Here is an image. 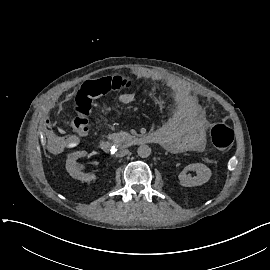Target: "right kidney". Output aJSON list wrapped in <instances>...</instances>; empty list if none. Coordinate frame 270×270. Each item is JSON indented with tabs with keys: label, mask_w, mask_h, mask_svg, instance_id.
Instances as JSON below:
<instances>
[{
	"label": "right kidney",
	"mask_w": 270,
	"mask_h": 270,
	"mask_svg": "<svg viewBox=\"0 0 270 270\" xmlns=\"http://www.w3.org/2000/svg\"><path fill=\"white\" fill-rule=\"evenodd\" d=\"M87 152L86 151H76L72 154H70L66 161V168L69 174L78 180L84 181V182H91L92 180L96 179V176L90 175V174H83L80 169L81 166L77 164V159L80 157H86Z\"/></svg>",
	"instance_id": "ca27d5eb"
}]
</instances>
